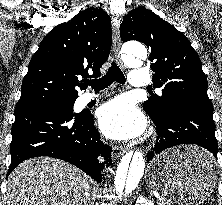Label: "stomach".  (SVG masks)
Wrapping results in <instances>:
<instances>
[{
  "mask_svg": "<svg viewBox=\"0 0 222 205\" xmlns=\"http://www.w3.org/2000/svg\"><path fill=\"white\" fill-rule=\"evenodd\" d=\"M208 153L195 146L167 150L149 164L147 183L179 205H199L213 192L217 172L204 163Z\"/></svg>",
  "mask_w": 222,
  "mask_h": 205,
  "instance_id": "obj_1",
  "label": "stomach"
}]
</instances>
